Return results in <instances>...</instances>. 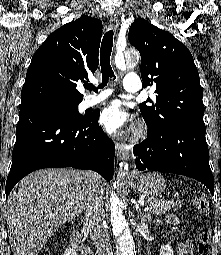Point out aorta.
<instances>
[{
	"mask_svg": "<svg viewBox=\"0 0 221 255\" xmlns=\"http://www.w3.org/2000/svg\"><path fill=\"white\" fill-rule=\"evenodd\" d=\"M117 67L123 69L126 67H135L138 64V55L134 50H127L125 53H117L115 56ZM128 163H124V170L118 173L117 186L122 188L125 182V170H128ZM111 222L113 224V233L117 243V255H136L135 243L130 228L126 223L120 208L118 207V197L112 194L111 197Z\"/></svg>",
	"mask_w": 221,
	"mask_h": 255,
	"instance_id": "obj_1",
	"label": "aorta"
}]
</instances>
